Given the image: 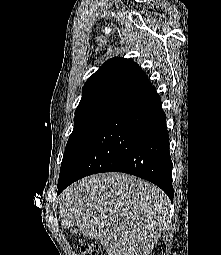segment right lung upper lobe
<instances>
[{"label":"right lung upper lobe","instance_id":"obj_1","mask_svg":"<svg viewBox=\"0 0 221 255\" xmlns=\"http://www.w3.org/2000/svg\"><path fill=\"white\" fill-rule=\"evenodd\" d=\"M151 86L147 75L130 59L106 61L85 83L75 114L104 106H121Z\"/></svg>","mask_w":221,"mask_h":255}]
</instances>
